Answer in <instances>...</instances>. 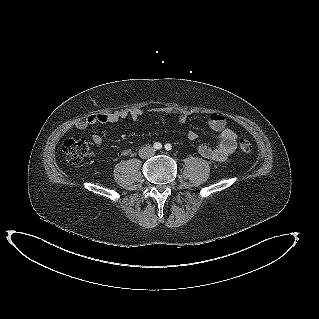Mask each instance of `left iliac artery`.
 <instances>
[{
	"label": "left iliac artery",
	"mask_w": 319,
	"mask_h": 319,
	"mask_svg": "<svg viewBox=\"0 0 319 319\" xmlns=\"http://www.w3.org/2000/svg\"><path fill=\"white\" fill-rule=\"evenodd\" d=\"M171 148H172V146H171L170 143H167V144L165 145V149H166L167 151L171 150Z\"/></svg>",
	"instance_id": "44dca946"
}]
</instances>
